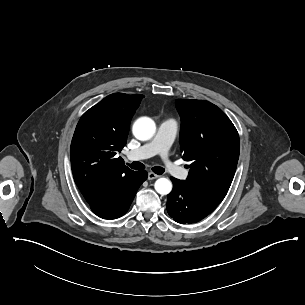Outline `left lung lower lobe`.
<instances>
[{
	"instance_id": "1",
	"label": "left lung lower lobe",
	"mask_w": 305,
	"mask_h": 305,
	"mask_svg": "<svg viewBox=\"0 0 305 305\" xmlns=\"http://www.w3.org/2000/svg\"><path fill=\"white\" fill-rule=\"evenodd\" d=\"M173 190L167 195L168 214L178 223H196L215 210L225 196L190 187L171 177Z\"/></svg>"
}]
</instances>
